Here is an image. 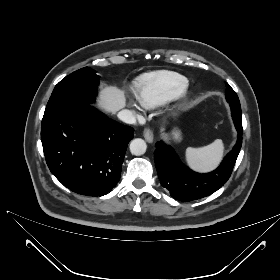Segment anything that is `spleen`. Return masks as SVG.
<instances>
[{
  "instance_id": "3e777b00",
  "label": "spleen",
  "mask_w": 280,
  "mask_h": 280,
  "mask_svg": "<svg viewBox=\"0 0 280 280\" xmlns=\"http://www.w3.org/2000/svg\"><path fill=\"white\" fill-rule=\"evenodd\" d=\"M223 152L222 140L216 139L207 146L187 148L186 162L191 169L197 172H209L219 165Z\"/></svg>"
}]
</instances>
